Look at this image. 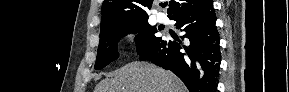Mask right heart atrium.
<instances>
[{
	"label": "right heart atrium",
	"mask_w": 289,
	"mask_h": 92,
	"mask_svg": "<svg viewBox=\"0 0 289 92\" xmlns=\"http://www.w3.org/2000/svg\"><path fill=\"white\" fill-rule=\"evenodd\" d=\"M122 40L127 46L134 47L138 41V34L134 31H127L122 35Z\"/></svg>",
	"instance_id": "1"
}]
</instances>
